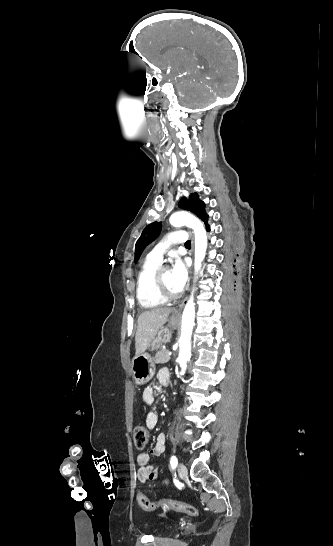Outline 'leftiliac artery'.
I'll return each mask as SVG.
<instances>
[{
    "mask_svg": "<svg viewBox=\"0 0 333 546\" xmlns=\"http://www.w3.org/2000/svg\"><path fill=\"white\" fill-rule=\"evenodd\" d=\"M177 464H178V460H177L176 456L173 455L171 457V459H170L171 468L175 469L177 467Z\"/></svg>",
    "mask_w": 333,
    "mask_h": 546,
    "instance_id": "44dca946",
    "label": "left iliac artery"
}]
</instances>
